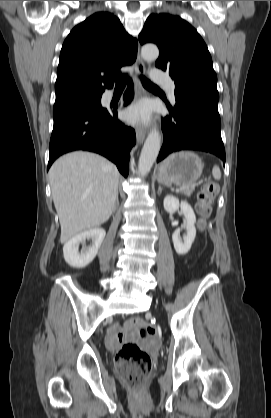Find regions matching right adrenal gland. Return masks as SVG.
<instances>
[{
	"label": "right adrenal gland",
	"mask_w": 271,
	"mask_h": 418,
	"mask_svg": "<svg viewBox=\"0 0 271 418\" xmlns=\"http://www.w3.org/2000/svg\"><path fill=\"white\" fill-rule=\"evenodd\" d=\"M118 206H119V201H118V193H117L115 208H118Z\"/></svg>",
	"instance_id": "obj_1"
}]
</instances>
